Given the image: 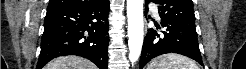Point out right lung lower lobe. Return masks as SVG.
Masks as SVG:
<instances>
[{"label":"right lung lower lobe","mask_w":246,"mask_h":69,"mask_svg":"<svg viewBox=\"0 0 246 69\" xmlns=\"http://www.w3.org/2000/svg\"><path fill=\"white\" fill-rule=\"evenodd\" d=\"M108 14L109 0L93 5L47 8L36 69L62 55H79L100 69H107Z\"/></svg>","instance_id":"obj_1"}]
</instances>
